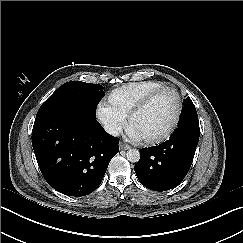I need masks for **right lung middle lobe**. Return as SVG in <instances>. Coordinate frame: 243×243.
Returning a JSON list of instances; mask_svg holds the SVG:
<instances>
[{
  "mask_svg": "<svg viewBox=\"0 0 243 243\" xmlns=\"http://www.w3.org/2000/svg\"><path fill=\"white\" fill-rule=\"evenodd\" d=\"M104 95L103 87L81 81H70L61 85L39 108L58 104H75L80 106L92 119L96 117V105Z\"/></svg>",
  "mask_w": 243,
  "mask_h": 243,
  "instance_id": "1",
  "label": "right lung middle lobe"
}]
</instances>
